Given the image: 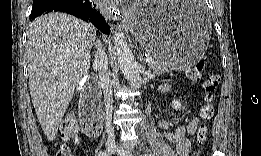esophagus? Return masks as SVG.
I'll use <instances>...</instances> for the list:
<instances>
[{
  "mask_svg": "<svg viewBox=\"0 0 261 156\" xmlns=\"http://www.w3.org/2000/svg\"><path fill=\"white\" fill-rule=\"evenodd\" d=\"M106 15L109 18L117 19L120 16V10L116 5H110L109 7L106 6Z\"/></svg>",
  "mask_w": 261,
  "mask_h": 156,
  "instance_id": "esophagus-1",
  "label": "esophagus"
}]
</instances>
